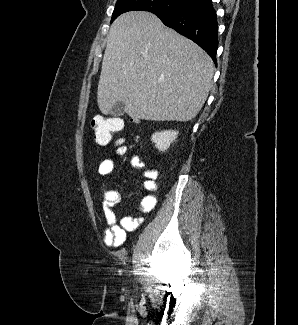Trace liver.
<instances>
[{"label": "liver", "mask_w": 298, "mask_h": 325, "mask_svg": "<svg viewBox=\"0 0 298 325\" xmlns=\"http://www.w3.org/2000/svg\"><path fill=\"white\" fill-rule=\"evenodd\" d=\"M106 38L97 90L103 114L122 100L132 118H195L214 74L212 58L203 48L146 10L117 16Z\"/></svg>", "instance_id": "6515ba94"}]
</instances>
